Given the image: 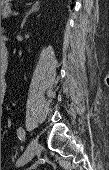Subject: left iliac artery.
<instances>
[{
	"label": "left iliac artery",
	"instance_id": "1",
	"mask_svg": "<svg viewBox=\"0 0 109 170\" xmlns=\"http://www.w3.org/2000/svg\"><path fill=\"white\" fill-rule=\"evenodd\" d=\"M17 134L20 140H23L25 138V130L22 127L18 128Z\"/></svg>",
	"mask_w": 109,
	"mask_h": 170
}]
</instances>
